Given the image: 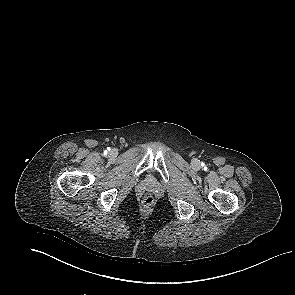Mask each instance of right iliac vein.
Listing matches in <instances>:
<instances>
[{
	"label": "right iliac vein",
	"instance_id": "1",
	"mask_svg": "<svg viewBox=\"0 0 295 295\" xmlns=\"http://www.w3.org/2000/svg\"><path fill=\"white\" fill-rule=\"evenodd\" d=\"M117 154H118V152H117V150H115V149H112V150L110 151V153H109L110 157H116Z\"/></svg>",
	"mask_w": 295,
	"mask_h": 295
}]
</instances>
